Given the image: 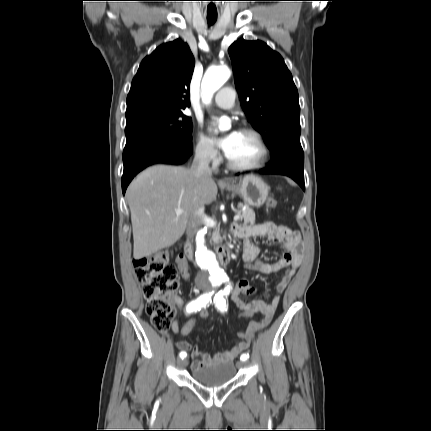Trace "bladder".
I'll return each mask as SVG.
<instances>
[{"label":"bladder","mask_w":431,"mask_h":431,"mask_svg":"<svg viewBox=\"0 0 431 431\" xmlns=\"http://www.w3.org/2000/svg\"><path fill=\"white\" fill-rule=\"evenodd\" d=\"M236 372L237 368L235 364L230 361L194 368L191 371V378L202 386L215 388L233 381Z\"/></svg>","instance_id":"1"}]
</instances>
